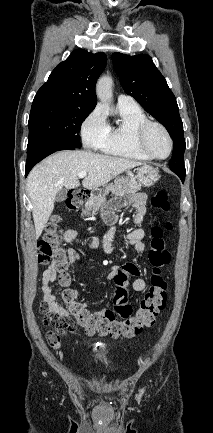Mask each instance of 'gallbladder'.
<instances>
[{
  "label": "gallbladder",
  "instance_id": "gallbladder-1",
  "mask_svg": "<svg viewBox=\"0 0 213 433\" xmlns=\"http://www.w3.org/2000/svg\"><path fill=\"white\" fill-rule=\"evenodd\" d=\"M66 198H67V190L62 189L57 193V195L55 197V201L56 202H63Z\"/></svg>",
  "mask_w": 213,
  "mask_h": 433
}]
</instances>
